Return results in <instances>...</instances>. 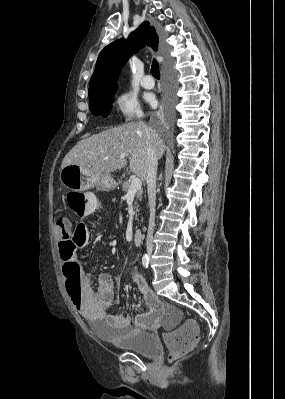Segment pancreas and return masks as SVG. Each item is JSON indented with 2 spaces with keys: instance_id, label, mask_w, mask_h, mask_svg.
Instances as JSON below:
<instances>
[{
  "instance_id": "1",
  "label": "pancreas",
  "mask_w": 285,
  "mask_h": 399,
  "mask_svg": "<svg viewBox=\"0 0 285 399\" xmlns=\"http://www.w3.org/2000/svg\"><path fill=\"white\" fill-rule=\"evenodd\" d=\"M130 184H131L130 180L124 181V182L121 184L122 191L128 192V190L130 189ZM142 194H143V189H139V190L136 192V199L139 200V201H141V200H142ZM136 206L138 207V204H137V203H136Z\"/></svg>"
}]
</instances>
